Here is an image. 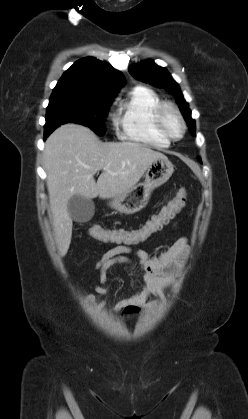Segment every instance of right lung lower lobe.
I'll use <instances>...</instances> for the list:
<instances>
[{
    "mask_svg": "<svg viewBox=\"0 0 248 419\" xmlns=\"http://www.w3.org/2000/svg\"><path fill=\"white\" fill-rule=\"evenodd\" d=\"M55 129H48V130H45V133H44V140L48 137V135L51 133V132H53Z\"/></svg>",
    "mask_w": 248,
    "mask_h": 419,
    "instance_id": "obj_1",
    "label": "right lung lower lobe"
}]
</instances>
